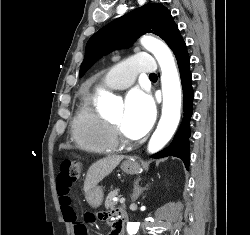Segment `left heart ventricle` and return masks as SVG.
<instances>
[{
  "mask_svg": "<svg viewBox=\"0 0 250 235\" xmlns=\"http://www.w3.org/2000/svg\"><path fill=\"white\" fill-rule=\"evenodd\" d=\"M123 118H124V111L120 110L117 114L111 116L109 118L110 121L118 124L119 126H121V128L123 129L125 135L129 138H131L132 136L125 130L124 126H123Z\"/></svg>",
  "mask_w": 250,
  "mask_h": 235,
  "instance_id": "left-heart-ventricle-1",
  "label": "left heart ventricle"
}]
</instances>
